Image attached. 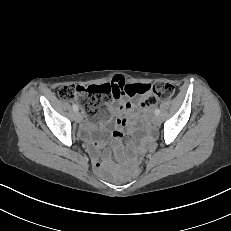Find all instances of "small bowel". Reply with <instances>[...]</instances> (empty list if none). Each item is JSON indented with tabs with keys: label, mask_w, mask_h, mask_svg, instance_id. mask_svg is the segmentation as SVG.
<instances>
[{
	"label": "small bowel",
	"mask_w": 231,
	"mask_h": 231,
	"mask_svg": "<svg viewBox=\"0 0 231 231\" xmlns=\"http://www.w3.org/2000/svg\"><path fill=\"white\" fill-rule=\"evenodd\" d=\"M111 84L120 89V94L115 96V101L110 103L111 110L115 113V119L108 125L97 126L94 123L87 122L86 130L92 134L102 131V134L95 137L92 143L94 151L100 150L106 141V132L112 128L111 134L114 138V146L119 148L120 139L124 132H132L134 130L137 102L131 101L130 98L136 94H130L128 88L137 84L128 83L122 75H115Z\"/></svg>",
	"instance_id": "small-bowel-1"
}]
</instances>
